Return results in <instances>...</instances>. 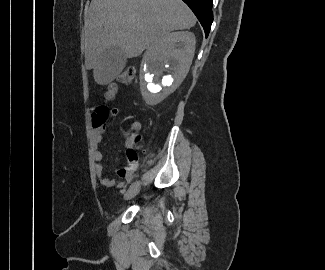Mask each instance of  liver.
Masks as SVG:
<instances>
[{"label":"liver","instance_id":"liver-1","mask_svg":"<svg viewBox=\"0 0 325 270\" xmlns=\"http://www.w3.org/2000/svg\"><path fill=\"white\" fill-rule=\"evenodd\" d=\"M85 64L97 84L112 80L97 73L102 53L118 46L126 58L140 56L170 32L190 29L196 17L182 0H92L85 9Z\"/></svg>","mask_w":325,"mask_h":270}]
</instances>
